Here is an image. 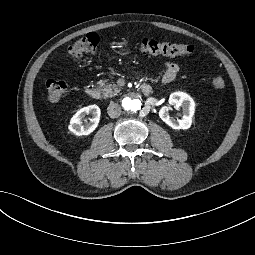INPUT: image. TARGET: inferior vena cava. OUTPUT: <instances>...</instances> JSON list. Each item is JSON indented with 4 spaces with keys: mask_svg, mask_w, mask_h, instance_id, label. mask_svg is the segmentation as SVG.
Returning <instances> with one entry per match:
<instances>
[{
    "mask_svg": "<svg viewBox=\"0 0 255 255\" xmlns=\"http://www.w3.org/2000/svg\"><path fill=\"white\" fill-rule=\"evenodd\" d=\"M107 113L109 117L111 118H117L120 116L121 113V108L120 106L115 103V102H110L108 108H107Z\"/></svg>",
    "mask_w": 255,
    "mask_h": 255,
    "instance_id": "inferior-vena-cava-1",
    "label": "inferior vena cava"
}]
</instances>
